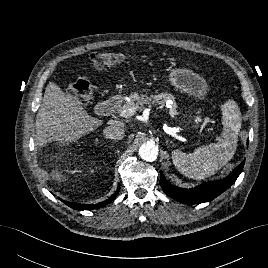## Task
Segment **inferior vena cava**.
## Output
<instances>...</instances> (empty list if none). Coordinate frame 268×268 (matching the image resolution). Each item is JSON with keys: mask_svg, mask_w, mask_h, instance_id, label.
Wrapping results in <instances>:
<instances>
[{"mask_svg": "<svg viewBox=\"0 0 268 268\" xmlns=\"http://www.w3.org/2000/svg\"><path fill=\"white\" fill-rule=\"evenodd\" d=\"M104 136L112 140H121L124 138L125 130L119 124H111L103 131Z\"/></svg>", "mask_w": 268, "mask_h": 268, "instance_id": "602c4592", "label": "inferior vena cava"}]
</instances>
